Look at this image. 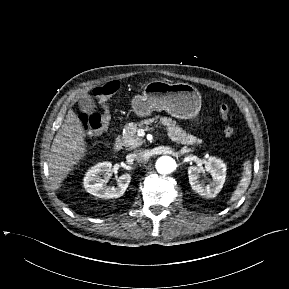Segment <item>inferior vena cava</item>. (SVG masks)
Here are the masks:
<instances>
[{
	"label": "inferior vena cava",
	"instance_id": "obj_1",
	"mask_svg": "<svg viewBox=\"0 0 289 289\" xmlns=\"http://www.w3.org/2000/svg\"><path fill=\"white\" fill-rule=\"evenodd\" d=\"M127 160H136L137 162H144L149 159V154L146 150H135L132 154L127 155Z\"/></svg>",
	"mask_w": 289,
	"mask_h": 289
}]
</instances>
